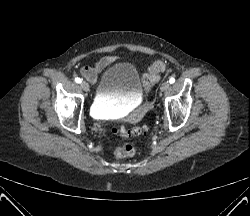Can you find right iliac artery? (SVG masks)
I'll return each mask as SVG.
<instances>
[{"label":"right iliac artery","instance_id":"82829eb1","mask_svg":"<svg viewBox=\"0 0 250 216\" xmlns=\"http://www.w3.org/2000/svg\"><path fill=\"white\" fill-rule=\"evenodd\" d=\"M75 82H76V83H81L82 80H81L80 78L76 77V78H75Z\"/></svg>","mask_w":250,"mask_h":216}]
</instances>
